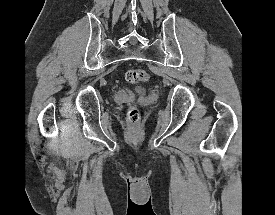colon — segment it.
Segmentation results:
<instances>
[{
  "instance_id": "obj_1",
  "label": "colon",
  "mask_w": 275,
  "mask_h": 215,
  "mask_svg": "<svg viewBox=\"0 0 275 215\" xmlns=\"http://www.w3.org/2000/svg\"><path fill=\"white\" fill-rule=\"evenodd\" d=\"M150 75L144 69H129L125 72V80L129 83L148 82ZM128 119L132 123H137L140 119L139 109L136 104L132 103L127 106Z\"/></svg>"
}]
</instances>
